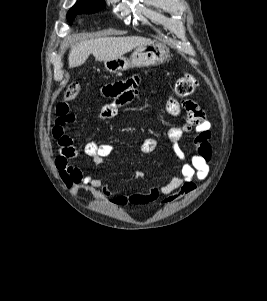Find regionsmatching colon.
<instances>
[{
    "instance_id": "1",
    "label": "colon",
    "mask_w": 267,
    "mask_h": 301,
    "mask_svg": "<svg viewBox=\"0 0 267 301\" xmlns=\"http://www.w3.org/2000/svg\"><path fill=\"white\" fill-rule=\"evenodd\" d=\"M196 88H197L196 79L190 74H185L177 79L174 92L176 96L187 97L192 95L196 90ZM79 91H80V86L78 83L73 82L69 84L64 92V100L65 101L74 100L79 94Z\"/></svg>"
}]
</instances>
